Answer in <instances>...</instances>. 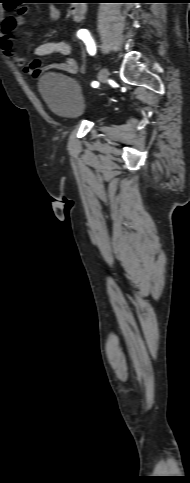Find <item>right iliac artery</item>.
I'll list each match as a JSON object with an SVG mask.
<instances>
[{
  "instance_id": "obj_1",
  "label": "right iliac artery",
  "mask_w": 190,
  "mask_h": 483,
  "mask_svg": "<svg viewBox=\"0 0 190 483\" xmlns=\"http://www.w3.org/2000/svg\"><path fill=\"white\" fill-rule=\"evenodd\" d=\"M77 36L83 40V42L85 43L86 45V48H87V51L90 55H95L96 53V46H95V43L93 41V39L91 38L90 36V33L88 30L86 29H80L78 32H77ZM92 87L96 88L99 86V83L97 81H93L91 83Z\"/></svg>"
}]
</instances>
